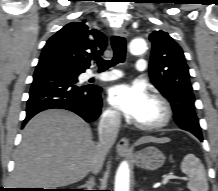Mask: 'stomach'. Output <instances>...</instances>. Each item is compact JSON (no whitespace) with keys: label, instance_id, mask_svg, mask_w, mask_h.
Returning <instances> with one entry per match:
<instances>
[{"label":"stomach","instance_id":"1","mask_svg":"<svg viewBox=\"0 0 218 191\" xmlns=\"http://www.w3.org/2000/svg\"><path fill=\"white\" fill-rule=\"evenodd\" d=\"M134 162L139 168L154 171L163 166L165 156L159 149L150 146L137 152L134 156Z\"/></svg>","mask_w":218,"mask_h":191}]
</instances>
